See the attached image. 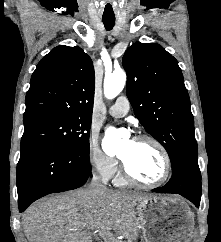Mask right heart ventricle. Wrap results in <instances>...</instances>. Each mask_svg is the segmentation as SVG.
<instances>
[{"label": "right heart ventricle", "instance_id": "obj_1", "mask_svg": "<svg viewBox=\"0 0 221 242\" xmlns=\"http://www.w3.org/2000/svg\"><path fill=\"white\" fill-rule=\"evenodd\" d=\"M114 183L117 186H126L128 184V180L123 175V172L119 170L114 178Z\"/></svg>", "mask_w": 221, "mask_h": 242}]
</instances>
